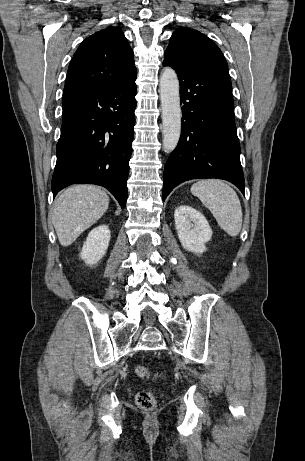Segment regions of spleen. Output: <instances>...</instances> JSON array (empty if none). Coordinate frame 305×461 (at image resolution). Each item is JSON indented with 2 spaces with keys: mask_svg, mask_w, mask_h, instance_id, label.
<instances>
[{
  "mask_svg": "<svg viewBox=\"0 0 305 461\" xmlns=\"http://www.w3.org/2000/svg\"><path fill=\"white\" fill-rule=\"evenodd\" d=\"M191 193L210 210L228 235L235 237L240 233L243 214L233 188L222 180H200L191 186Z\"/></svg>",
  "mask_w": 305,
  "mask_h": 461,
  "instance_id": "1",
  "label": "spleen"
}]
</instances>
